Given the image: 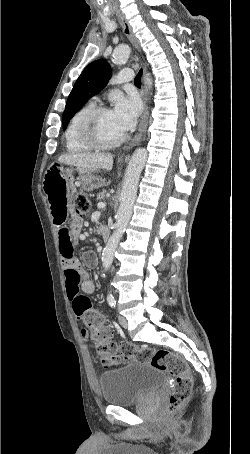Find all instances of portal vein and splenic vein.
<instances>
[{
  "mask_svg": "<svg viewBox=\"0 0 250 454\" xmlns=\"http://www.w3.org/2000/svg\"><path fill=\"white\" fill-rule=\"evenodd\" d=\"M105 206H106V204L104 202L98 203V208L99 209H103V208H105Z\"/></svg>",
  "mask_w": 250,
  "mask_h": 454,
  "instance_id": "obj_1",
  "label": "portal vein and splenic vein"
}]
</instances>
